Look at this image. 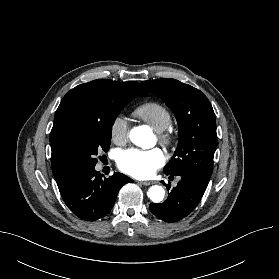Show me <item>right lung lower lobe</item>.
Listing matches in <instances>:
<instances>
[{"label":"right lung lower lobe","mask_w":279,"mask_h":279,"mask_svg":"<svg viewBox=\"0 0 279 279\" xmlns=\"http://www.w3.org/2000/svg\"><path fill=\"white\" fill-rule=\"evenodd\" d=\"M130 182L133 180L121 173L103 178L95 167H89L77 171L59 191L78 218L95 221L109 213L120 188Z\"/></svg>","instance_id":"98d812e1"}]
</instances>
